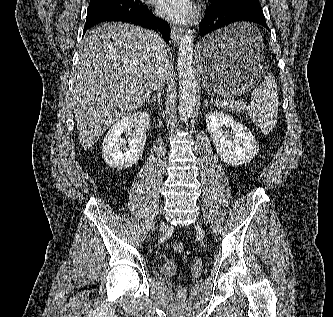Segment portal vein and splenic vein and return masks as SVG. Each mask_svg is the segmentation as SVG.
Instances as JSON below:
<instances>
[{
	"label": "portal vein and splenic vein",
	"instance_id": "1",
	"mask_svg": "<svg viewBox=\"0 0 333 317\" xmlns=\"http://www.w3.org/2000/svg\"><path fill=\"white\" fill-rule=\"evenodd\" d=\"M233 104H240L239 102H236V101H232Z\"/></svg>",
	"mask_w": 333,
	"mask_h": 317
}]
</instances>
